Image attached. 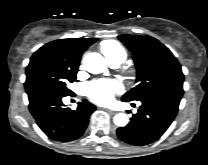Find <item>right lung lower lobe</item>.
Returning <instances> with one entry per match:
<instances>
[{
	"label": "right lung lower lobe",
	"mask_w": 208,
	"mask_h": 165,
	"mask_svg": "<svg viewBox=\"0 0 208 165\" xmlns=\"http://www.w3.org/2000/svg\"><path fill=\"white\" fill-rule=\"evenodd\" d=\"M63 97L65 96L59 94L43 95L30 102L29 109L40 129L50 139L69 142L84 133L96 107L83 100L76 110H71L62 103Z\"/></svg>",
	"instance_id": "98d812e1"
}]
</instances>
